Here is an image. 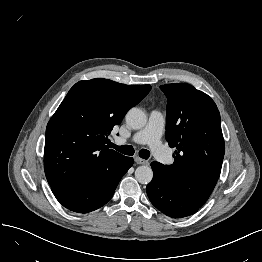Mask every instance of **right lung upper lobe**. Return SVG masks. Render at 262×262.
<instances>
[{
    "label": "right lung upper lobe",
    "instance_id": "cb5924a9",
    "mask_svg": "<svg viewBox=\"0 0 262 262\" xmlns=\"http://www.w3.org/2000/svg\"><path fill=\"white\" fill-rule=\"evenodd\" d=\"M150 90L103 78L76 83L46 128L44 169L51 188L107 185L124 156L108 149L105 140Z\"/></svg>",
    "mask_w": 262,
    "mask_h": 262
}]
</instances>
